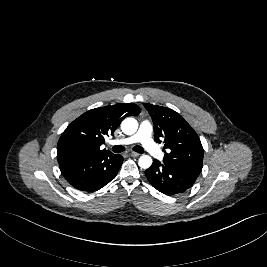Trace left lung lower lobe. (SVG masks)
I'll use <instances>...</instances> for the list:
<instances>
[{
	"instance_id": "0a47b994",
	"label": "left lung lower lobe",
	"mask_w": 267,
	"mask_h": 267,
	"mask_svg": "<svg viewBox=\"0 0 267 267\" xmlns=\"http://www.w3.org/2000/svg\"><path fill=\"white\" fill-rule=\"evenodd\" d=\"M150 184L166 195L182 193L190 188L198 175L179 170L154 160L151 167L145 171Z\"/></svg>"
}]
</instances>
